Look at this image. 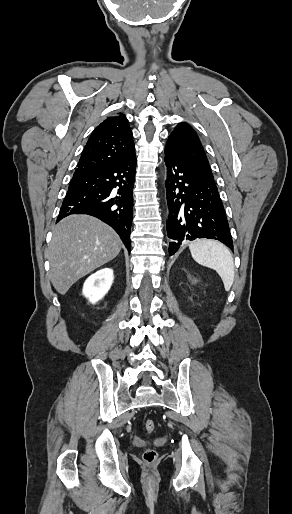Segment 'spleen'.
<instances>
[{
    "label": "spleen",
    "mask_w": 292,
    "mask_h": 514,
    "mask_svg": "<svg viewBox=\"0 0 292 514\" xmlns=\"http://www.w3.org/2000/svg\"><path fill=\"white\" fill-rule=\"evenodd\" d=\"M191 256L195 262L212 268L219 274L225 290L229 292L234 282V262L226 246L216 240H194L189 244Z\"/></svg>",
    "instance_id": "3e777b00"
}]
</instances>
